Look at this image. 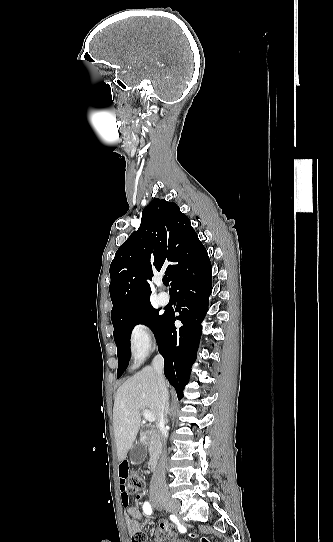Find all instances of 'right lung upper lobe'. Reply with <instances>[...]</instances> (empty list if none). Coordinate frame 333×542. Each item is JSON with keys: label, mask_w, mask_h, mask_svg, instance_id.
I'll return each mask as SVG.
<instances>
[{"label": "right lung upper lobe", "mask_w": 333, "mask_h": 542, "mask_svg": "<svg viewBox=\"0 0 333 542\" xmlns=\"http://www.w3.org/2000/svg\"><path fill=\"white\" fill-rule=\"evenodd\" d=\"M198 240L189 218L175 203L152 200L143 210L140 227L119 247L110 265L111 319L151 304L148 280L153 271L165 270L172 282L176 254Z\"/></svg>", "instance_id": "right-lung-upper-lobe-1"}]
</instances>
